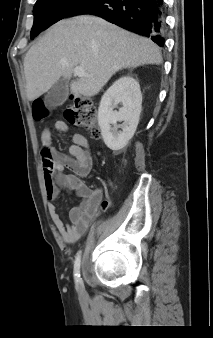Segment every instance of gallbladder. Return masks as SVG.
I'll use <instances>...</instances> for the list:
<instances>
[{"mask_svg": "<svg viewBox=\"0 0 213 338\" xmlns=\"http://www.w3.org/2000/svg\"><path fill=\"white\" fill-rule=\"evenodd\" d=\"M69 94V84L65 79H59L47 92L44 102L48 108L62 105Z\"/></svg>", "mask_w": 213, "mask_h": 338, "instance_id": "obj_1", "label": "gallbladder"}]
</instances>
